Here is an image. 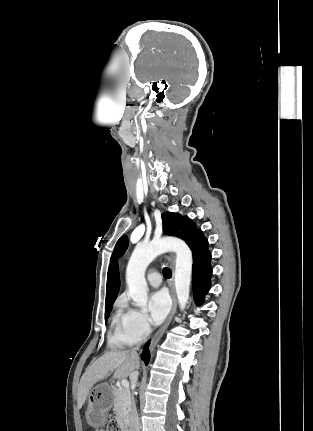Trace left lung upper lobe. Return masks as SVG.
<instances>
[{
    "label": "left lung upper lobe",
    "mask_w": 313,
    "mask_h": 431,
    "mask_svg": "<svg viewBox=\"0 0 313 431\" xmlns=\"http://www.w3.org/2000/svg\"><path fill=\"white\" fill-rule=\"evenodd\" d=\"M162 221L164 233L181 238L188 245L192 243L200 231L190 218L181 217L180 214L165 212L162 215ZM127 247L128 237L124 235L117 241L111 258L122 256Z\"/></svg>",
    "instance_id": "1"
}]
</instances>
